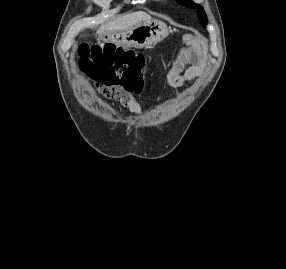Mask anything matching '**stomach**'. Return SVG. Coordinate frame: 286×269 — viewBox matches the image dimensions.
Returning a JSON list of instances; mask_svg holds the SVG:
<instances>
[{
    "label": "stomach",
    "instance_id": "1",
    "mask_svg": "<svg viewBox=\"0 0 286 269\" xmlns=\"http://www.w3.org/2000/svg\"><path fill=\"white\" fill-rule=\"evenodd\" d=\"M168 35L165 23L158 20L141 22L130 29L110 36L106 41L122 46L147 48L156 45Z\"/></svg>",
    "mask_w": 286,
    "mask_h": 269
}]
</instances>
